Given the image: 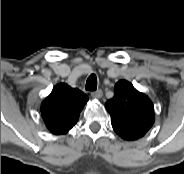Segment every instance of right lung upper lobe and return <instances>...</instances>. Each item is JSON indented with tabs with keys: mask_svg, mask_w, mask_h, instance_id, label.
Listing matches in <instances>:
<instances>
[{
	"mask_svg": "<svg viewBox=\"0 0 184 174\" xmlns=\"http://www.w3.org/2000/svg\"><path fill=\"white\" fill-rule=\"evenodd\" d=\"M88 97L65 83L57 84L41 104L47 128L56 135L66 134L78 121Z\"/></svg>",
	"mask_w": 184,
	"mask_h": 174,
	"instance_id": "right-lung-upper-lobe-1",
	"label": "right lung upper lobe"
}]
</instances>
